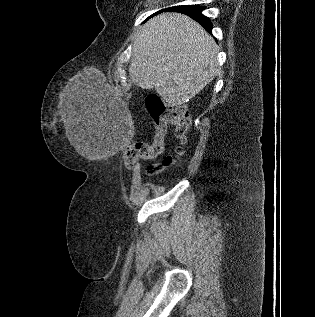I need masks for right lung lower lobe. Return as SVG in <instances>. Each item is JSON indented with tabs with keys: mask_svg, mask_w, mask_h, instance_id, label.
Masks as SVG:
<instances>
[{
	"mask_svg": "<svg viewBox=\"0 0 315 317\" xmlns=\"http://www.w3.org/2000/svg\"><path fill=\"white\" fill-rule=\"evenodd\" d=\"M204 6L198 5H187V6H176L166 9V11H174L184 13L197 22H199L208 32H211L212 24L210 20L201 14V11L204 10Z\"/></svg>",
	"mask_w": 315,
	"mask_h": 317,
	"instance_id": "obj_1",
	"label": "right lung lower lobe"
}]
</instances>
